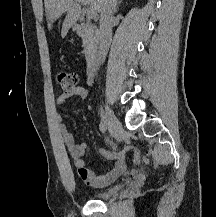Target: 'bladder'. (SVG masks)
Segmentation results:
<instances>
[{
    "instance_id": "31cf9c89",
    "label": "bladder",
    "mask_w": 216,
    "mask_h": 217,
    "mask_svg": "<svg viewBox=\"0 0 216 217\" xmlns=\"http://www.w3.org/2000/svg\"><path fill=\"white\" fill-rule=\"evenodd\" d=\"M122 188H123V184H117L109 189L102 190V191H96L92 194V196L95 199L107 200L115 196Z\"/></svg>"
}]
</instances>
